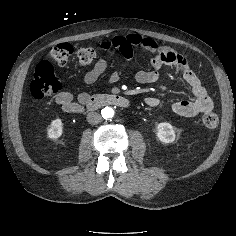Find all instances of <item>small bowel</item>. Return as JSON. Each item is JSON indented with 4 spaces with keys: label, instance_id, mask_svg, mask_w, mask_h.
<instances>
[{
    "label": "small bowel",
    "instance_id": "c3829d8e",
    "mask_svg": "<svg viewBox=\"0 0 236 236\" xmlns=\"http://www.w3.org/2000/svg\"><path fill=\"white\" fill-rule=\"evenodd\" d=\"M103 50L116 49L127 60L133 57L135 47L154 54L151 60V68L149 70H140L136 73L135 79L140 84L154 83L159 79V70L162 66H169L176 72L180 73L185 85L193 95L192 100H179L173 103L172 110L183 117H194L201 113L210 112L213 109V101L208 96L205 87L202 85L198 76L190 68L187 60L176 50L160 46L151 38L142 37L138 34H128L126 36H116L110 41H104L100 44ZM108 63L104 57L97 60L93 68L84 76L86 84H93L105 72ZM120 79V74L114 72L110 75L108 82L116 83ZM88 97L87 93H81L77 97L70 91H61L56 96V103L66 113H80L81 106ZM145 103L150 107L160 105L157 97L149 96L145 99Z\"/></svg>",
    "mask_w": 236,
    "mask_h": 236
}]
</instances>
